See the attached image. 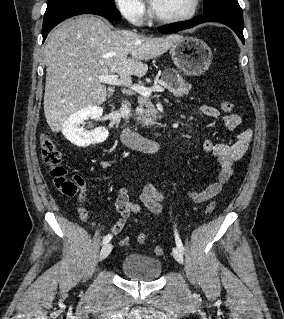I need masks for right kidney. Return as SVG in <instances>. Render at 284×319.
Returning <instances> with one entry per match:
<instances>
[{
	"mask_svg": "<svg viewBox=\"0 0 284 319\" xmlns=\"http://www.w3.org/2000/svg\"><path fill=\"white\" fill-rule=\"evenodd\" d=\"M101 115L102 109L99 107L92 106L82 108L68 118L62 128V132L71 143L79 147L102 143L109 136V132L105 127H97L92 131H87L80 126L85 120L97 118Z\"/></svg>",
	"mask_w": 284,
	"mask_h": 319,
	"instance_id": "ca27d5eb",
	"label": "right kidney"
}]
</instances>
